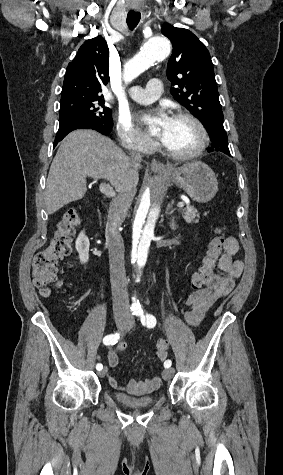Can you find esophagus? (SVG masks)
I'll return each mask as SVG.
<instances>
[{
  "label": "esophagus",
  "instance_id": "esophagus-1",
  "mask_svg": "<svg viewBox=\"0 0 283 475\" xmlns=\"http://www.w3.org/2000/svg\"><path fill=\"white\" fill-rule=\"evenodd\" d=\"M150 166L155 170L166 171L165 165L157 160H152Z\"/></svg>",
  "mask_w": 283,
  "mask_h": 475
}]
</instances>
